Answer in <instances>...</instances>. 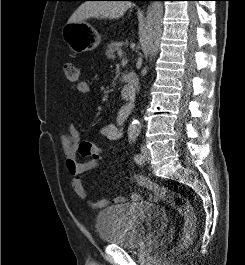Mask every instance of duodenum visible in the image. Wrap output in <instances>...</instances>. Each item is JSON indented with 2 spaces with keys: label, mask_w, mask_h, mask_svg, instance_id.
Returning a JSON list of instances; mask_svg holds the SVG:
<instances>
[{
  "label": "duodenum",
  "mask_w": 245,
  "mask_h": 265,
  "mask_svg": "<svg viewBox=\"0 0 245 265\" xmlns=\"http://www.w3.org/2000/svg\"><path fill=\"white\" fill-rule=\"evenodd\" d=\"M121 79L124 83L122 90L123 96L128 102H133L137 96L139 86L136 73L132 71L125 72Z\"/></svg>",
  "instance_id": "410a0bca"
}]
</instances>
